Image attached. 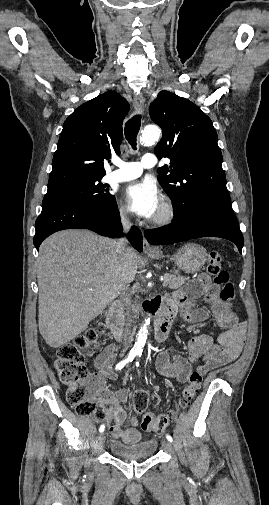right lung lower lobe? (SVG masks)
I'll list each match as a JSON object with an SVG mask.
<instances>
[{"label": "right lung lower lobe", "mask_w": 269, "mask_h": 505, "mask_svg": "<svg viewBox=\"0 0 269 505\" xmlns=\"http://www.w3.org/2000/svg\"><path fill=\"white\" fill-rule=\"evenodd\" d=\"M64 229H88L111 238L123 234L116 201L102 210L74 200L55 201L42 205L36 220L33 242L37 250L49 235ZM128 239L135 249L142 251V234L137 227L131 228Z\"/></svg>", "instance_id": "1"}]
</instances>
